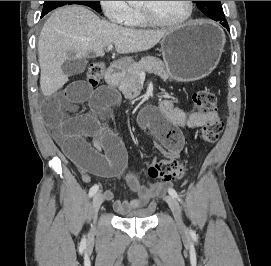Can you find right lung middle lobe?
Returning <instances> with one entry per match:
<instances>
[{"label": "right lung middle lobe", "mask_w": 271, "mask_h": 266, "mask_svg": "<svg viewBox=\"0 0 271 266\" xmlns=\"http://www.w3.org/2000/svg\"><path fill=\"white\" fill-rule=\"evenodd\" d=\"M69 4H80L91 7L95 11L100 9V1H45L42 11V16L46 15L51 10Z\"/></svg>", "instance_id": "obj_1"}]
</instances>
